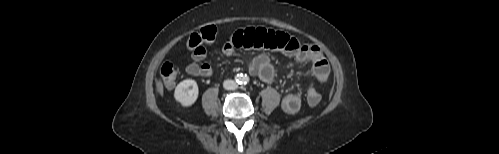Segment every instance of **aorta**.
Masks as SVG:
<instances>
[{
  "label": "aorta",
  "instance_id": "obj_1",
  "mask_svg": "<svg viewBox=\"0 0 499 154\" xmlns=\"http://www.w3.org/2000/svg\"><path fill=\"white\" fill-rule=\"evenodd\" d=\"M244 79H245V77H241V79H240V80H241V82H244Z\"/></svg>",
  "mask_w": 499,
  "mask_h": 154
}]
</instances>
